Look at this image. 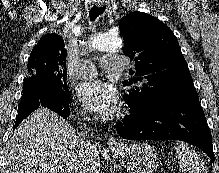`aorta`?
Listing matches in <instances>:
<instances>
[{
    "label": "aorta",
    "mask_w": 219,
    "mask_h": 173,
    "mask_svg": "<svg viewBox=\"0 0 219 173\" xmlns=\"http://www.w3.org/2000/svg\"><path fill=\"white\" fill-rule=\"evenodd\" d=\"M91 47L99 51H118L123 47V40L119 36L98 33L91 38Z\"/></svg>",
    "instance_id": "aorta-1"
}]
</instances>
